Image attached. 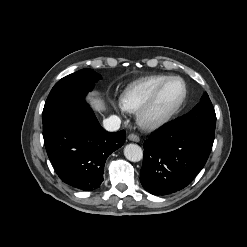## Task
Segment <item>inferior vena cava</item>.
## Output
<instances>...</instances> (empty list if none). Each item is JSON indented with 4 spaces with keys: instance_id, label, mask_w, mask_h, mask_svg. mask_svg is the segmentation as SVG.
<instances>
[{
    "instance_id": "inferior-vena-cava-1",
    "label": "inferior vena cava",
    "mask_w": 247,
    "mask_h": 247,
    "mask_svg": "<svg viewBox=\"0 0 247 247\" xmlns=\"http://www.w3.org/2000/svg\"><path fill=\"white\" fill-rule=\"evenodd\" d=\"M121 120L117 116H110L103 121L104 128L109 132L117 131L120 128Z\"/></svg>"
}]
</instances>
